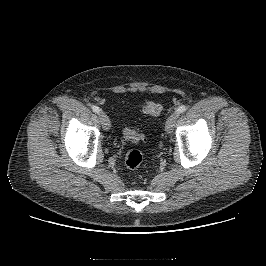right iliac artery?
Here are the masks:
<instances>
[{
  "instance_id": "obj_1",
  "label": "right iliac artery",
  "mask_w": 266,
  "mask_h": 266,
  "mask_svg": "<svg viewBox=\"0 0 266 266\" xmlns=\"http://www.w3.org/2000/svg\"><path fill=\"white\" fill-rule=\"evenodd\" d=\"M92 110H93V112H95V113H99V112H100L99 107L96 106V105H93V106H92Z\"/></svg>"
}]
</instances>
